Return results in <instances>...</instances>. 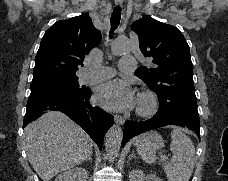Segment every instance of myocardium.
Returning a JSON list of instances; mask_svg holds the SVG:
<instances>
[{
    "instance_id": "obj_1",
    "label": "myocardium",
    "mask_w": 228,
    "mask_h": 181,
    "mask_svg": "<svg viewBox=\"0 0 228 181\" xmlns=\"http://www.w3.org/2000/svg\"><path fill=\"white\" fill-rule=\"evenodd\" d=\"M158 107L157 97L151 92H142L137 100V112L144 117L152 116Z\"/></svg>"
}]
</instances>
